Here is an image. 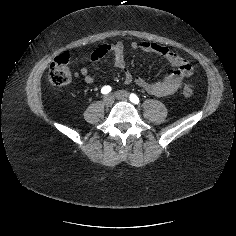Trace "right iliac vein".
Here are the masks:
<instances>
[{
  "label": "right iliac vein",
  "instance_id": "obj_1",
  "mask_svg": "<svg viewBox=\"0 0 236 236\" xmlns=\"http://www.w3.org/2000/svg\"><path fill=\"white\" fill-rule=\"evenodd\" d=\"M114 103V97L112 95H106L104 96L103 98V104L106 106V107H110L112 106Z\"/></svg>",
  "mask_w": 236,
  "mask_h": 236
}]
</instances>
